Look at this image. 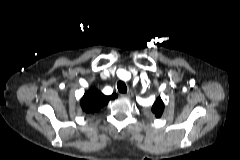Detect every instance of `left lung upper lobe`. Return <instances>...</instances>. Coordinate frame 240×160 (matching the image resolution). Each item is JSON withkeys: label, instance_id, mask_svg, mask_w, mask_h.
<instances>
[{"label": "left lung upper lobe", "instance_id": "1", "mask_svg": "<svg viewBox=\"0 0 240 160\" xmlns=\"http://www.w3.org/2000/svg\"><path fill=\"white\" fill-rule=\"evenodd\" d=\"M164 110V103L161 98H157L154 105L152 106V112L155 114L157 118L161 117Z\"/></svg>", "mask_w": 240, "mask_h": 160}]
</instances>
